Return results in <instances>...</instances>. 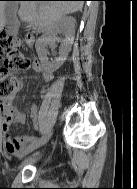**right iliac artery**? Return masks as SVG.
Here are the masks:
<instances>
[{
    "label": "right iliac artery",
    "instance_id": "1",
    "mask_svg": "<svg viewBox=\"0 0 137 189\" xmlns=\"http://www.w3.org/2000/svg\"><path fill=\"white\" fill-rule=\"evenodd\" d=\"M41 133H48V130H41ZM39 137H44V134H39ZM38 139L36 137H33L32 138V141L35 142L37 141Z\"/></svg>",
    "mask_w": 137,
    "mask_h": 189
}]
</instances>
